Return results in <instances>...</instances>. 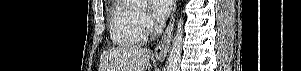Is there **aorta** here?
<instances>
[{
	"label": "aorta",
	"instance_id": "762f6f07",
	"mask_svg": "<svg viewBox=\"0 0 301 71\" xmlns=\"http://www.w3.org/2000/svg\"><path fill=\"white\" fill-rule=\"evenodd\" d=\"M148 0H131L133 6H146ZM183 25L184 21L180 18L177 22V31L172 41L169 52L166 71H180L182 44H183Z\"/></svg>",
	"mask_w": 301,
	"mask_h": 71
}]
</instances>
